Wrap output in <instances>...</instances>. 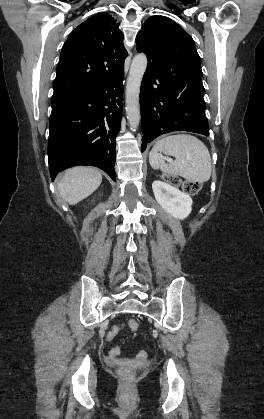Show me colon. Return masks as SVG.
I'll return each mask as SVG.
<instances>
[{
  "label": "colon",
  "mask_w": 264,
  "mask_h": 419,
  "mask_svg": "<svg viewBox=\"0 0 264 419\" xmlns=\"http://www.w3.org/2000/svg\"><path fill=\"white\" fill-rule=\"evenodd\" d=\"M165 181L174 184V185H179L180 179L172 176V175H168L166 174L164 176ZM182 189L184 192L188 193V194H197L201 188L200 184L198 182H194V181H189V180H185L181 183ZM128 327L131 331H136L139 328V324L135 319H130L128 321ZM137 356L141 359H144L147 357V352L144 350H140L137 353ZM119 373L125 377V378H129L131 375V369L128 366H121L119 368Z\"/></svg>",
  "instance_id": "5ec220e1"
}]
</instances>
